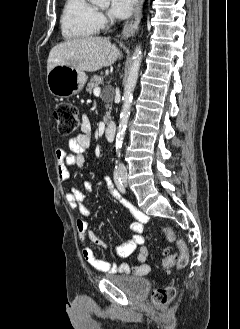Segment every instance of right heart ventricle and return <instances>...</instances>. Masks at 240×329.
I'll use <instances>...</instances> for the list:
<instances>
[{
    "mask_svg": "<svg viewBox=\"0 0 240 329\" xmlns=\"http://www.w3.org/2000/svg\"><path fill=\"white\" fill-rule=\"evenodd\" d=\"M66 40H82L98 33L97 9L89 0H66L60 17Z\"/></svg>",
    "mask_w": 240,
    "mask_h": 329,
    "instance_id": "right-heart-ventricle-1",
    "label": "right heart ventricle"
}]
</instances>
